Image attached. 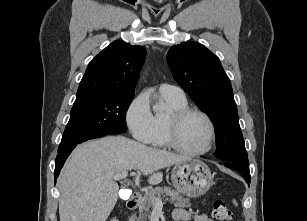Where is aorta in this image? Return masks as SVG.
Masks as SVG:
<instances>
[{"instance_id": "aorta-1", "label": "aorta", "mask_w": 307, "mask_h": 221, "mask_svg": "<svg viewBox=\"0 0 307 221\" xmlns=\"http://www.w3.org/2000/svg\"><path fill=\"white\" fill-rule=\"evenodd\" d=\"M154 111H162L163 110V107L162 106H159V105H155L153 107Z\"/></svg>"}]
</instances>
